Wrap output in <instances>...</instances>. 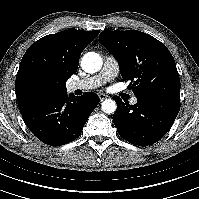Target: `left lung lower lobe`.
<instances>
[{
	"label": "left lung lower lobe",
	"instance_id": "0a47b994",
	"mask_svg": "<svg viewBox=\"0 0 199 199\" xmlns=\"http://www.w3.org/2000/svg\"><path fill=\"white\" fill-rule=\"evenodd\" d=\"M117 109L113 123L126 141L148 146L160 140L170 129L180 110V103L149 97H136L137 103L130 105L113 97Z\"/></svg>",
	"mask_w": 199,
	"mask_h": 199
}]
</instances>
